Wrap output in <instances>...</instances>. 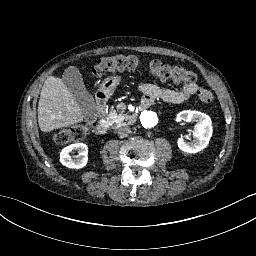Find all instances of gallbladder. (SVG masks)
Instances as JSON below:
<instances>
[{
	"instance_id": "bac80fb5",
	"label": "gallbladder",
	"mask_w": 256,
	"mask_h": 256,
	"mask_svg": "<svg viewBox=\"0 0 256 256\" xmlns=\"http://www.w3.org/2000/svg\"><path fill=\"white\" fill-rule=\"evenodd\" d=\"M62 82L74 95L85 119L88 121L95 120L97 117V105L93 96L85 88L78 68L75 66L66 68L62 76Z\"/></svg>"
}]
</instances>
